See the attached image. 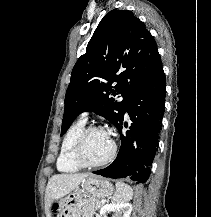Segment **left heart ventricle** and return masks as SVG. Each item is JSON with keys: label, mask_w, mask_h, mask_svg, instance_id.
Instances as JSON below:
<instances>
[{"label": "left heart ventricle", "mask_w": 211, "mask_h": 217, "mask_svg": "<svg viewBox=\"0 0 211 217\" xmlns=\"http://www.w3.org/2000/svg\"><path fill=\"white\" fill-rule=\"evenodd\" d=\"M112 149V141L105 131H91L86 140L85 154L88 160L98 162L105 159Z\"/></svg>", "instance_id": "1"}]
</instances>
